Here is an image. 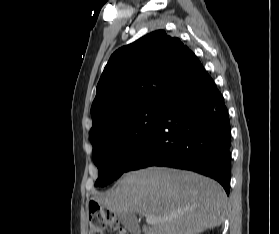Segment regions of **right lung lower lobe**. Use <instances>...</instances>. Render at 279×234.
<instances>
[{
  "mask_svg": "<svg viewBox=\"0 0 279 234\" xmlns=\"http://www.w3.org/2000/svg\"><path fill=\"white\" fill-rule=\"evenodd\" d=\"M154 165L209 176L229 194V116L204 68L163 107L155 129L126 171Z\"/></svg>",
  "mask_w": 279,
  "mask_h": 234,
  "instance_id": "1",
  "label": "right lung lower lobe"
}]
</instances>
